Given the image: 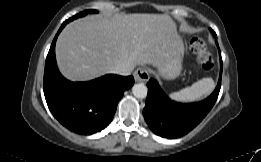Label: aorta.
Listing matches in <instances>:
<instances>
[{
  "label": "aorta",
  "mask_w": 261,
  "mask_h": 162,
  "mask_svg": "<svg viewBox=\"0 0 261 162\" xmlns=\"http://www.w3.org/2000/svg\"><path fill=\"white\" fill-rule=\"evenodd\" d=\"M133 95L138 99H144L147 96V87L143 83L135 84L132 87Z\"/></svg>",
  "instance_id": "762f6f07"
}]
</instances>
